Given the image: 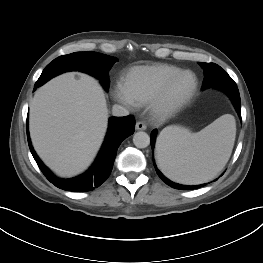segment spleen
<instances>
[{"label": "spleen", "instance_id": "1", "mask_svg": "<svg viewBox=\"0 0 263 263\" xmlns=\"http://www.w3.org/2000/svg\"><path fill=\"white\" fill-rule=\"evenodd\" d=\"M236 135L235 119L222 115L199 132L168 126L157 139V161L171 180L195 185L213 179L226 165Z\"/></svg>", "mask_w": 263, "mask_h": 263}]
</instances>
